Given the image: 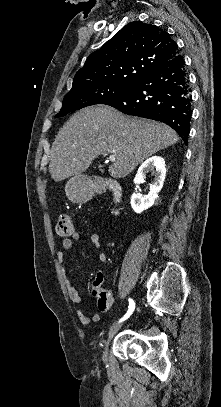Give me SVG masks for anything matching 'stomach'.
Masks as SVG:
<instances>
[{"mask_svg":"<svg viewBox=\"0 0 221 407\" xmlns=\"http://www.w3.org/2000/svg\"><path fill=\"white\" fill-rule=\"evenodd\" d=\"M65 192L72 203H84L92 198L93 191L84 176L70 178L65 186Z\"/></svg>","mask_w":221,"mask_h":407,"instance_id":"1","label":"stomach"}]
</instances>
